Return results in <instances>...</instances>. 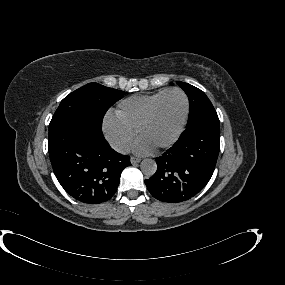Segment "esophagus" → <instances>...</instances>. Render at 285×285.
Here are the masks:
<instances>
[{
    "label": "esophagus",
    "instance_id": "1",
    "mask_svg": "<svg viewBox=\"0 0 285 285\" xmlns=\"http://www.w3.org/2000/svg\"><path fill=\"white\" fill-rule=\"evenodd\" d=\"M130 161L132 164H136V163H139L141 159L138 157L131 156Z\"/></svg>",
    "mask_w": 285,
    "mask_h": 285
}]
</instances>
